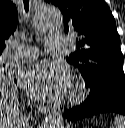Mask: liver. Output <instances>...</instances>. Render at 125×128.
<instances>
[{"label":"liver","mask_w":125,"mask_h":128,"mask_svg":"<svg viewBox=\"0 0 125 128\" xmlns=\"http://www.w3.org/2000/svg\"><path fill=\"white\" fill-rule=\"evenodd\" d=\"M17 87L12 76L0 68V128H22Z\"/></svg>","instance_id":"obj_1"}]
</instances>
